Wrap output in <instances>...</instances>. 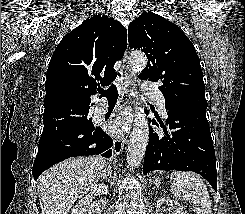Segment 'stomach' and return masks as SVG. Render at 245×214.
Listing matches in <instances>:
<instances>
[{"instance_id":"stomach-1","label":"stomach","mask_w":245,"mask_h":214,"mask_svg":"<svg viewBox=\"0 0 245 214\" xmlns=\"http://www.w3.org/2000/svg\"><path fill=\"white\" fill-rule=\"evenodd\" d=\"M154 182H155L156 184H158V183L160 182V179H159V178H154Z\"/></svg>"}]
</instances>
